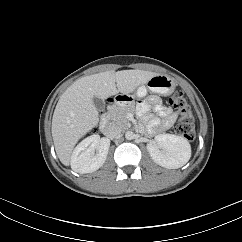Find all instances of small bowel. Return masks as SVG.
<instances>
[{
  "mask_svg": "<svg viewBox=\"0 0 242 242\" xmlns=\"http://www.w3.org/2000/svg\"><path fill=\"white\" fill-rule=\"evenodd\" d=\"M155 110L160 118L147 115L148 105L146 103H140L137 107V114L147 121V129L151 134L170 128L177 117L172 109L161 104H157Z\"/></svg>",
  "mask_w": 242,
  "mask_h": 242,
  "instance_id": "c3829d8e",
  "label": "small bowel"
}]
</instances>
